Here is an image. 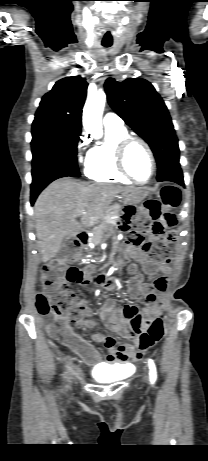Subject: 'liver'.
I'll return each mask as SVG.
<instances>
[{
    "instance_id": "obj_1",
    "label": "liver",
    "mask_w": 208,
    "mask_h": 461,
    "mask_svg": "<svg viewBox=\"0 0 208 461\" xmlns=\"http://www.w3.org/2000/svg\"><path fill=\"white\" fill-rule=\"evenodd\" d=\"M137 188L76 182L63 178L51 183L37 198L34 213L41 259L47 262L60 250L62 240L101 220L114 198ZM81 216V221L77 217Z\"/></svg>"
}]
</instances>
